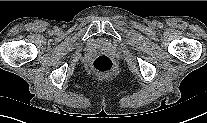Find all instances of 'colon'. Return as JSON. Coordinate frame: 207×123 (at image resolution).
Masks as SVG:
<instances>
[{
  "label": "colon",
  "instance_id": "1",
  "mask_svg": "<svg viewBox=\"0 0 207 123\" xmlns=\"http://www.w3.org/2000/svg\"><path fill=\"white\" fill-rule=\"evenodd\" d=\"M89 69L95 74H109L115 70V65L108 56L100 55L91 62Z\"/></svg>",
  "mask_w": 207,
  "mask_h": 123
}]
</instances>
